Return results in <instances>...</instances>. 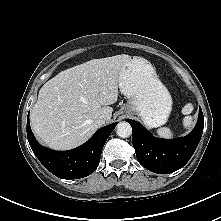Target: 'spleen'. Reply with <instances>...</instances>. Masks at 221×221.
<instances>
[{
    "label": "spleen",
    "instance_id": "obj_1",
    "mask_svg": "<svg viewBox=\"0 0 221 221\" xmlns=\"http://www.w3.org/2000/svg\"><path fill=\"white\" fill-rule=\"evenodd\" d=\"M193 111V106L192 104L188 103L186 104L183 109H182V113L184 115H187L184 117L183 119V125L185 128H190L192 123H193V118L191 116H189V114ZM157 134L159 137L161 138H172L173 137V132L170 130V128L168 127H161L157 130Z\"/></svg>",
    "mask_w": 221,
    "mask_h": 221
}]
</instances>
